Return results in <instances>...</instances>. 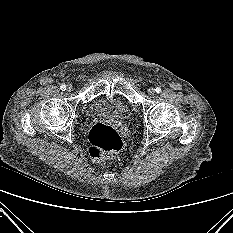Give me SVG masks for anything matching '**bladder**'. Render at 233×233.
Segmentation results:
<instances>
[{
  "mask_svg": "<svg viewBox=\"0 0 233 233\" xmlns=\"http://www.w3.org/2000/svg\"><path fill=\"white\" fill-rule=\"evenodd\" d=\"M131 114L129 104L121 98H102L92 102L86 115L89 117L102 116L117 120H125Z\"/></svg>",
  "mask_w": 233,
  "mask_h": 233,
  "instance_id": "obj_1",
  "label": "bladder"
}]
</instances>
